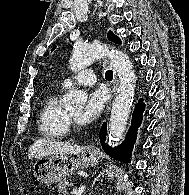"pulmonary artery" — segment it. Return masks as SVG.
I'll return each instance as SVG.
<instances>
[{
	"label": "pulmonary artery",
	"mask_w": 189,
	"mask_h": 195,
	"mask_svg": "<svg viewBox=\"0 0 189 195\" xmlns=\"http://www.w3.org/2000/svg\"><path fill=\"white\" fill-rule=\"evenodd\" d=\"M96 76L92 72H88L86 70H80L73 76L66 78L62 81L61 86L63 88H69L75 84L83 85V86H91L95 84Z\"/></svg>",
	"instance_id": "obj_1"
}]
</instances>
